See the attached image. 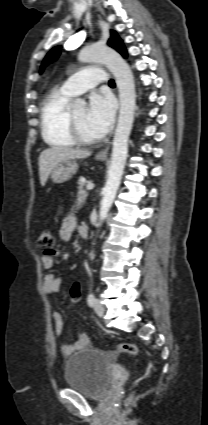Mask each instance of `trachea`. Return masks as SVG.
<instances>
[{"label":"trachea","instance_id":"trachea-1","mask_svg":"<svg viewBox=\"0 0 208 425\" xmlns=\"http://www.w3.org/2000/svg\"><path fill=\"white\" fill-rule=\"evenodd\" d=\"M109 85H110V86H114V85H115L114 80H112V79H111V80H109Z\"/></svg>","mask_w":208,"mask_h":425}]
</instances>
